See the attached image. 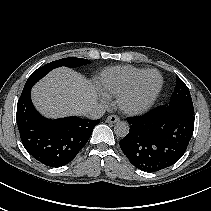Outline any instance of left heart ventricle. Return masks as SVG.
I'll use <instances>...</instances> for the list:
<instances>
[{
  "label": "left heart ventricle",
  "mask_w": 211,
  "mask_h": 211,
  "mask_svg": "<svg viewBox=\"0 0 211 211\" xmlns=\"http://www.w3.org/2000/svg\"><path fill=\"white\" fill-rule=\"evenodd\" d=\"M160 77L156 73H151L143 80L137 95L135 96L133 103H144L159 87Z\"/></svg>",
  "instance_id": "obj_1"
}]
</instances>
